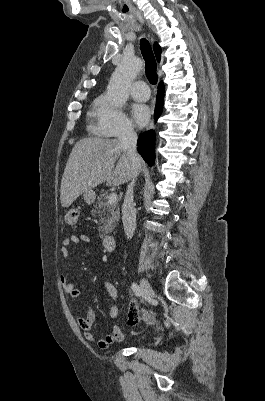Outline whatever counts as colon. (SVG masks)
Returning a JSON list of instances; mask_svg holds the SVG:
<instances>
[{
  "label": "colon",
  "instance_id": "1",
  "mask_svg": "<svg viewBox=\"0 0 265 401\" xmlns=\"http://www.w3.org/2000/svg\"><path fill=\"white\" fill-rule=\"evenodd\" d=\"M77 218H78V212L75 209H71L69 211L66 212L65 214V222L68 225H74L77 222ZM143 316L146 318L147 321L151 322L154 319V314L152 312H145L143 313ZM139 318H140V313L138 312H132L129 317V323L132 326H135L138 324L139 322Z\"/></svg>",
  "mask_w": 265,
  "mask_h": 401
}]
</instances>
